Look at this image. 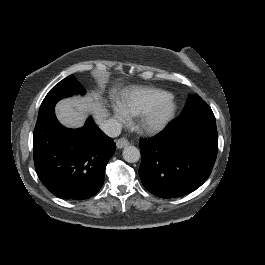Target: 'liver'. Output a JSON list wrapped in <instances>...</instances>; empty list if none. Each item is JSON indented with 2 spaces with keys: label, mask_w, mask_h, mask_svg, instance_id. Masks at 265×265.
I'll list each match as a JSON object with an SVG mask.
<instances>
[{
  "label": "liver",
  "mask_w": 265,
  "mask_h": 265,
  "mask_svg": "<svg viewBox=\"0 0 265 265\" xmlns=\"http://www.w3.org/2000/svg\"><path fill=\"white\" fill-rule=\"evenodd\" d=\"M101 88L104 80H98ZM118 88H113L111 96L116 98ZM91 113L98 125H101L110 116L105 108L100 92L92 91L87 98L73 97L64 99L56 105V114L59 121L67 127H81L85 121L86 114Z\"/></svg>",
  "instance_id": "1"
}]
</instances>
